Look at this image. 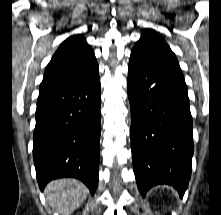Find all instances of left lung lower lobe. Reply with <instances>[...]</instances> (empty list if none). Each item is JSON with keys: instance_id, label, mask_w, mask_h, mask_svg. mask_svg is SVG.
Segmentation results:
<instances>
[{"instance_id": "obj_1", "label": "left lung lower lobe", "mask_w": 221, "mask_h": 215, "mask_svg": "<svg viewBox=\"0 0 221 215\" xmlns=\"http://www.w3.org/2000/svg\"><path fill=\"white\" fill-rule=\"evenodd\" d=\"M127 80L131 105L133 170L142 196L168 184L182 198L192 170V116L177 59L161 52H131Z\"/></svg>"}]
</instances>
